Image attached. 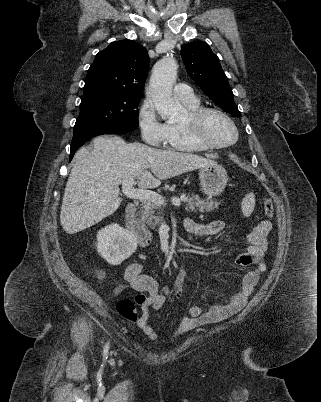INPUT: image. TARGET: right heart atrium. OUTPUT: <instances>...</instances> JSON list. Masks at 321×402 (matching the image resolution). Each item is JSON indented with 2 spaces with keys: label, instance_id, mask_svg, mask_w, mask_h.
I'll use <instances>...</instances> for the list:
<instances>
[{
  "label": "right heart atrium",
  "instance_id": "d8ad5b80",
  "mask_svg": "<svg viewBox=\"0 0 321 402\" xmlns=\"http://www.w3.org/2000/svg\"><path fill=\"white\" fill-rule=\"evenodd\" d=\"M138 126L144 142L152 146L165 145L167 140L166 123L163 122L154 105L145 100L137 116Z\"/></svg>",
  "mask_w": 321,
  "mask_h": 402
}]
</instances>
